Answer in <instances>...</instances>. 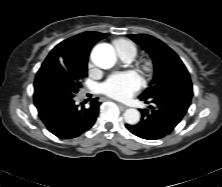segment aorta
<instances>
[{"instance_id": "obj_1", "label": "aorta", "mask_w": 222, "mask_h": 187, "mask_svg": "<svg viewBox=\"0 0 222 187\" xmlns=\"http://www.w3.org/2000/svg\"><path fill=\"white\" fill-rule=\"evenodd\" d=\"M92 59L94 63L102 69L112 68L116 61L117 55L115 48L108 43H100L92 50ZM124 119L130 125H136L140 121V112L137 109H127L124 112Z\"/></svg>"}]
</instances>
